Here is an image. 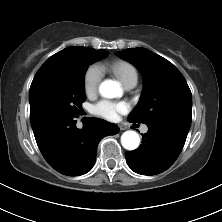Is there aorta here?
<instances>
[{"instance_id":"1","label":"aorta","mask_w":222,"mask_h":222,"mask_svg":"<svg viewBox=\"0 0 222 222\" xmlns=\"http://www.w3.org/2000/svg\"><path fill=\"white\" fill-rule=\"evenodd\" d=\"M100 94L105 98H114L121 93L118 82L113 80H105L99 86ZM122 146L127 150H135L140 143L139 135L135 131H126L121 136Z\"/></svg>"}]
</instances>
